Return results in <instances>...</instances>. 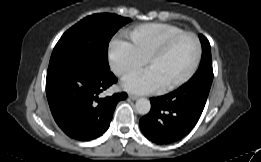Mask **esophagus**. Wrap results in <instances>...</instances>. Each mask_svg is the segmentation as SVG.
<instances>
[{
	"label": "esophagus",
	"instance_id": "34e87169",
	"mask_svg": "<svg viewBox=\"0 0 261 162\" xmlns=\"http://www.w3.org/2000/svg\"><path fill=\"white\" fill-rule=\"evenodd\" d=\"M128 97H129V99H131V100H137V99H138L137 96H134V95H131V94H129Z\"/></svg>",
	"mask_w": 261,
	"mask_h": 162
}]
</instances>
